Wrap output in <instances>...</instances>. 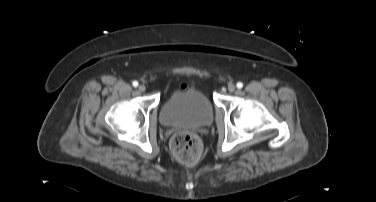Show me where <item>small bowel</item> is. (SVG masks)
Returning <instances> with one entry per match:
<instances>
[{
  "instance_id": "c3829d8e",
  "label": "small bowel",
  "mask_w": 376,
  "mask_h": 202,
  "mask_svg": "<svg viewBox=\"0 0 376 202\" xmlns=\"http://www.w3.org/2000/svg\"><path fill=\"white\" fill-rule=\"evenodd\" d=\"M181 88H186V85L185 84L181 85Z\"/></svg>"
}]
</instances>
